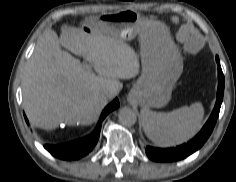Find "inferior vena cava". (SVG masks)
Listing matches in <instances>:
<instances>
[{"label":"inferior vena cava","mask_w":236,"mask_h":182,"mask_svg":"<svg viewBox=\"0 0 236 182\" xmlns=\"http://www.w3.org/2000/svg\"><path fill=\"white\" fill-rule=\"evenodd\" d=\"M101 96L103 98L109 99V98H112L114 96V93L111 90L104 89V90L101 91Z\"/></svg>","instance_id":"inferior-vena-cava-1"}]
</instances>
